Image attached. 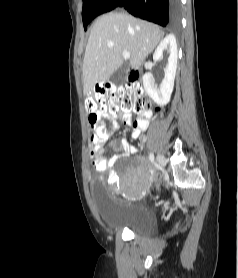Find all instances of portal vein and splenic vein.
Returning <instances> with one entry per match:
<instances>
[{"instance_id": "18ae733b", "label": "portal vein and splenic vein", "mask_w": 238, "mask_h": 278, "mask_svg": "<svg viewBox=\"0 0 238 278\" xmlns=\"http://www.w3.org/2000/svg\"><path fill=\"white\" fill-rule=\"evenodd\" d=\"M122 56L124 59H129L130 58V53L128 51H123Z\"/></svg>"}]
</instances>
